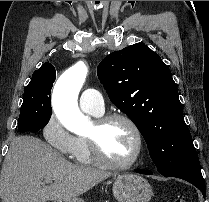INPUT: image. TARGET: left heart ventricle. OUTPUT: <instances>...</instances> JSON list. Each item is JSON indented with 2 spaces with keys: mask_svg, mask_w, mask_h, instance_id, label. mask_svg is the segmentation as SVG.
Wrapping results in <instances>:
<instances>
[{
  "mask_svg": "<svg viewBox=\"0 0 209 202\" xmlns=\"http://www.w3.org/2000/svg\"><path fill=\"white\" fill-rule=\"evenodd\" d=\"M95 133V123L87 136ZM104 154L114 162H127L135 152L136 138L130 126L123 121H114L106 126L99 135Z\"/></svg>",
  "mask_w": 209,
  "mask_h": 202,
  "instance_id": "b2bd125f",
  "label": "left heart ventricle"
}]
</instances>
